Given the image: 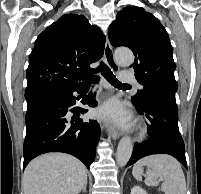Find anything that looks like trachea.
Here are the masks:
<instances>
[{"label":"trachea","mask_w":201,"mask_h":194,"mask_svg":"<svg viewBox=\"0 0 201 194\" xmlns=\"http://www.w3.org/2000/svg\"><path fill=\"white\" fill-rule=\"evenodd\" d=\"M97 70L105 77V79L114 87H127L128 84H123L118 81L111 69L104 63H101Z\"/></svg>","instance_id":"obj_1"}]
</instances>
